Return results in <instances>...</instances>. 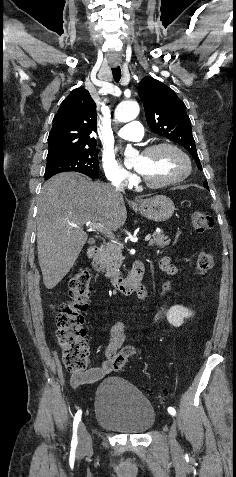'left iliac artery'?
Listing matches in <instances>:
<instances>
[{
    "label": "left iliac artery",
    "mask_w": 236,
    "mask_h": 477,
    "mask_svg": "<svg viewBox=\"0 0 236 477\" xmlns=\"http://www.w3.org/2000/svg\"><path fill=\"white\" fill-rule=\"evenodd\" d=\"M168 412L169 414L173 413L174 415H176V410L173 407H168Z\"/></svg>",
    "instance_id": "44dca946"
}]
</instances>
